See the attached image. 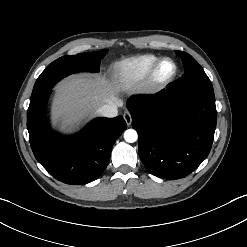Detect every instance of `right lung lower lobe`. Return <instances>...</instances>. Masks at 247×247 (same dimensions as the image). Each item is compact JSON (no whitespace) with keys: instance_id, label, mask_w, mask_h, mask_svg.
<instances>
[{"instance_id":"right-lung-lower-lobe-1","label":"right lung lower lobe","mask_w":247,"mask_h":247,"mask_svg":"<svg viewBox=\"0 0 247 247\" xmlns=\"http://www.w3.org/2000/svg\"><path fill=\"white\" fill-rule=\"evenodd\" d=\"M50 93L27 111L29 141L37 161L58 181L66 184H87L107 167L112 146L126 130L122 116L97 118L81 132L62 136L49 131L45 122Z\"/></svg>"}]
</instances>
